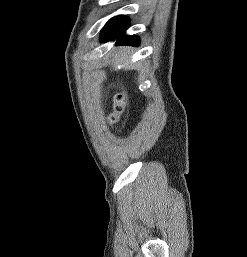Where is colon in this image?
Instances as JSON below:
<instances>
[{
    "label": "colon",
    "instance_id": "colon-1",
    "mask_svg": "<svg viewBox=\"0 0 247 257\" xmlns=\"http://www.w3.org/2000/svg\"><path fill=\"white\" fill-rule=\"evenodd\" d=\"M125 111V97L123 94L118 93L114 97V105L112 112L109 115V121L111 124H115L120 116L124 113Z\"/></svg>",
    "mask_w": 247,
    "mask_h": 257
}]
</instances>
